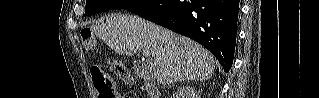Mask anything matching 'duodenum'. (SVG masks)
<instances>
[{
    "label": "duodenum",
    "mask_w": 319,
    "mask_h": 98,
    "mask_svg": "<svg viewBox=\"0 0 319 98\" xmlns=\"http://www.w3.org/2000/svg\"><path fill=\"white\" fill-rule=\"evenodd\" d=\"M146 89L150 95V98H159V91L157 85L154 82L148 81L146 83Z\"/></svg>",
    "instance_id": "obj_1"
}]
</instances>
